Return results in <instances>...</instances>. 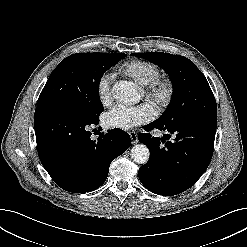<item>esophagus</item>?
I'll return each mask as SVG.
<instances>
[{"mask_svg": "<svg viewBox=\"0 0 247 247\" xmlns=\"http://www.w3.org/2000/svg\"><path fill=\"white\" fill-rule=\"evenodd\" d=\"M129 135L131 137L132 144L138 143V137H137V133L136 132L131 131V132H129Z\"/></svg>", "mask_w": 247, "mask_h": 247, "instance_id": "1", "label": "esophagus"}]
</instances>
